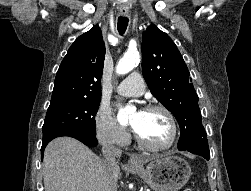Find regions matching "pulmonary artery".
Here are the masks:
<instances>
[{
    "label": "pulmonary artery",
    "mask_w": 251,
    "mask_h": 191,
    "mask_svg": "<svg viewBox=\"0 0 251 191\" xmlns=\"http://www.w3.org/2000/svg\"><path fill=\"white\" fill-rule=\"evenodd\" d=\"M146 88L142 75L138 72L129 74L116 88L124 96H140Z\"/></svg>",
    "instance_id": "e3ab8cb5"
}]
</instances>
